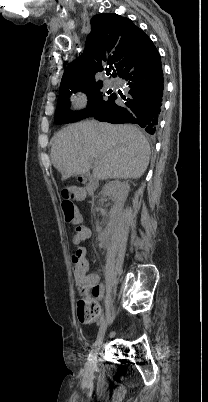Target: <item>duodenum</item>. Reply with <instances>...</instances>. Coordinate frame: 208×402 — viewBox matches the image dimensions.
<instances>
[{"label":"duodenum","mask_w":208,"mask_h":402,"mask_svg":"<svg viewBox=\"0 0 208 402\" xmlns=\"http://www.w3.org/2000/svg\"><path fill=\"white\" fill-rule=\"evenodd\" d=\"M80 180L86 184L88 193L93 194L95 191V187H96L95 180L88 176L80 177Z\"/></svg>","instance_id":"duodenum-1"}]
</instances>
